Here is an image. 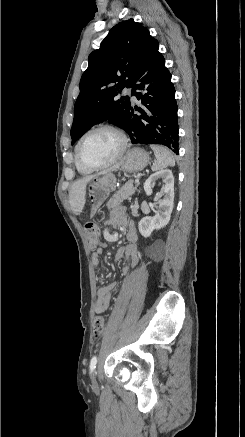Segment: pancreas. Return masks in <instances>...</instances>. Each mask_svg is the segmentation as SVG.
I'll return each mask as SVG.
<instances>
[{
    "instance_id": "cf45deb5",
    "label": "pancreas",
    "mask_w": 245,
    "mask_h": 437,
    "mask_svg": "<svg viewBox=\"0 0 245 437\" xmlns=\"http://www.w3.org/2000/svg\"><path fill=\"white\" fill-rule=\"evenodd\" d=\"M133 183V180H129L110 198L107 202L108 209L114 208L135 193L138 183H136V186Z\"/></svg>"
}]
</instances>
